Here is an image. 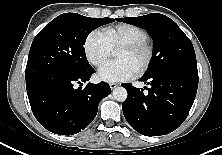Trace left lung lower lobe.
<instances>
[{"instance_id": "1", "label": "left lung lower lobe", "mask_w": 222, "mask_h": 155, "mask_svg": "<svg viewBox=\"0 0 222 155\" xmlns=\"http://www.w3.org/2000/svg\"><path fill=\"white\" fill-rule=\"evenodd\" d=\"M198 79V74L167 70L145 74L140 79L150 85L147 93L130 84H122L128 92L122 104L127 122L145 136L166 135L174 131L188 116Z\"/></svg>"}]
</instances>
